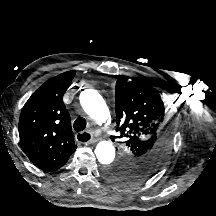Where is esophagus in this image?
<instances>
[{
	"mask_svg": "<svg viewBox=\"0 0 216 216\" xmlns=\"http://www.w3.org/2000/svg\"><path fill=\"white\" fill-rule=\"evenodd\" d=\"M82 134H87L86 136H90V139L88 141H86L85 143L86 144H92V143H95L97 142V138H95L94 136H92V134H90L89 132H81V133H78L76 135L77 139L78 137H80ZM79 140V139H78ZM80 141V140H79Z\"/></svg>",
	"mask_w": 216,
	"mask_h": 216,
	"instance_id": "1",
	"label": "esophagus"
}]
</instances>
